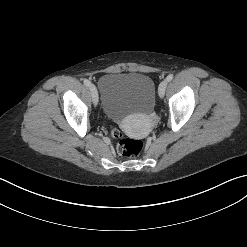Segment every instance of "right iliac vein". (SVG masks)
Returning <instances> with one entry per match:
<instances>
[{
  "mask_svg": "<svg viewBox=\"0 0 247 247\" xmlns=\"http://www.w3.org/2000/svg\"><path fill=\"white\" fill-rule=\"evenodd\" d=\"M90 91H91L93 104L96 106L98 104L99 98H98V92H97L95 85L93 84L90 85Z\"/></svg>",
  "mask_w": 247,
  "mask_h": 247,
  "instance_id": "1",
  "label": "right iliac vein"
}]
</instances>
